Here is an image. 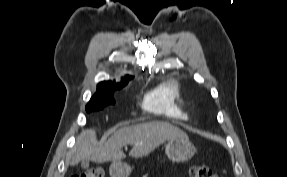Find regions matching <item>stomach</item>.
<instances>
[{
    "label": "stomach",
    "mask_w": 287,
    "mask_h": 177,
    "mask_svg": "<svg viewBox=\"0 0 287 177\" xmlns=\"http://www.w3.org/2000/svg\"><path fill=\"white\" fill-rule=\"evenodd\" d=\"M166 155L172 162H186L195 154V146L188 138L169 140L165 147ZM111 177H129L131 167L122 162H113L109 168Z\"/></svg>",
    "instance_id": "obj_1"
}]
</instances>
